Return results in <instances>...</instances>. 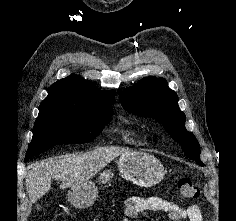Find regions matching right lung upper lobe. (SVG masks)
<instances>
[{
	"mask_svg": "<svg viewBox=\"0 0 236 221\" xmlns=\"http://www.w3.org/2000/svg\"><path fill=\"white\" fill-rule=\"evenodd\" d=\"M115 91H101L93 83L77 75H70L51 85L48 96L40 105L92 107L112 105Z\"/></svg>",
	"mask_w": 236,
	"mask_h": 221,
	"instance_id": "1",
	"label": "right lung upper lobe"
}]
</instances>
